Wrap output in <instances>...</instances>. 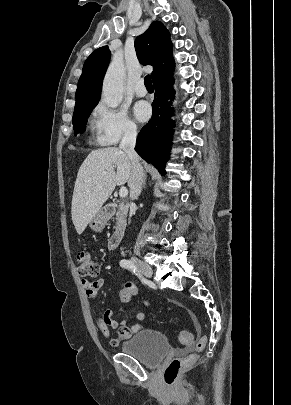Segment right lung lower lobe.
I'll return each mask as SVG.
<instances>
[{
	"instance_id": "1",
	"label": "right lung lower lobe",
	"mask_w": 291,
	"mask_h": 405,
	"mask_svg": "<svg viewBox=\"0 0 291 405\" xmlns=\"http://www.w3.org/2000/svg\"><path fill=\"white\" fill-rule=\"evenodd\" d=\"M174 78L170 74L154 82L155 99L152 103V119L138 134L135 150L148 163L155 166L158 171L165 174V163L169 159L172 145L174 121L171 101L175 98L173 90Z\"/></svg>"
}]
</instances>
